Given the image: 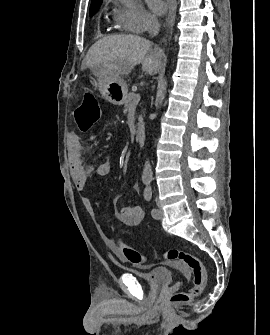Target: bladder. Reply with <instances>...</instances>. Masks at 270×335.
<instances>
[{
  "label": "bladder",
  "mask_w": 270,
  "mask_h": 335,
  "mask_svg": "<svg viewBox=\"0 0 270 335\" xmlns=\"http://www.w3.org/2000/svg\"><path fill=\"white\" fill-rule=\"evenodd\" d=\"M131 273L137 275L141 282L150 284L152 288L170 286L174 276V272L167 268H157L147 273L136 271H131Z\"/></svg>",
  "instance_id": "1"
}]
</instances>
